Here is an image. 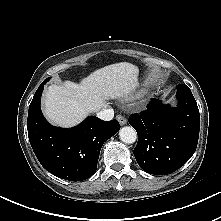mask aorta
<instances>
[{
	"mask_svg": "<svg viewBox=\"0 0 221 221\" xmlns=\"http://www.w3.org/2000/svg\"><path fill=\"white\" fill-rule=\"evenodd\" d=\"M120 140L126 144H132L137 139V132L131 126H125L119 131Z\"/></svg>",
	"mask_w": 221,
	"mask_h": 221,
	"instance_id": "1",
	"label": "aorta"
}]
</instances>
